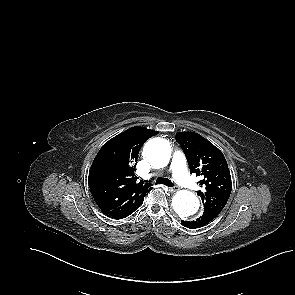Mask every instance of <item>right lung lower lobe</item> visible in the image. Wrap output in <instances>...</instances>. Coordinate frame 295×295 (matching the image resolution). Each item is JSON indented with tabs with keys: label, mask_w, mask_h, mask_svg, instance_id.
<instances>
[{
	"label": "right lung lower lobe",
	"mask_w": 295,
	"mask_h": 295,
	"mask_svg": "<svg viewBox=\"0 0 295 295\" xmlns=\"http://www.w3.org/2000/svg\"><path fill=\"white\" fill-rule=\"evenodd\" d=\"M130 214H131V213H130ZM130 214H128V215H130ZM128 215H124V216H120V217H114V219H122V218L127 217Z\"/></svg>",
	"instance_id": "98d812e1"
}]
</instances>
